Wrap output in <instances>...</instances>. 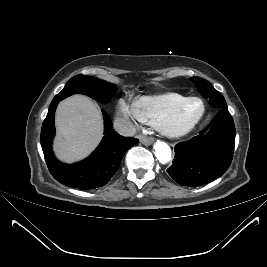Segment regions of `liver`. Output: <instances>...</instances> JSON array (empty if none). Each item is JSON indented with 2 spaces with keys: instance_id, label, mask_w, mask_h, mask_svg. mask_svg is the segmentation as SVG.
<instances>
[{
  "instance_id": "obj_1",
  "label": "liver",
  "mask_w": 267,
  "mask_h": 267,
  "mask_svg": "<svg viewBox=\"0 0 267 267\" xmlns=\"http://www.w3.org/2000/svg\"><path fill=\"white\" fill-rule=\"evenodd\" d=\"M56 156L65 162L78 161L90 154L103 136V119L87 97L73 95L61 101L55 115Z\"/></svg>"
}]
</instances>
